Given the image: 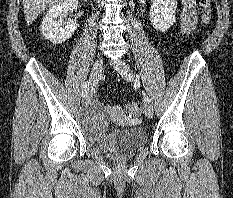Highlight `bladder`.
<instances>
[{
  "label": "bladder",
  "mask_w": 233,
  "mask_h": 198,
  "mask_svg": "<svg viewBox=\"0 0 233 198\" xmlns=\"http://www.w3.org/2000/svg\"><path fill=\"white\" fill-rule=\"evenodd\" d=\"M80 124L86 138L113 157H126L147 143V131L143 127L109 129L108 110L99 102L83 110Z\"/></svg>",
  "instance_id": "bladder-1"
}]
</instances>
